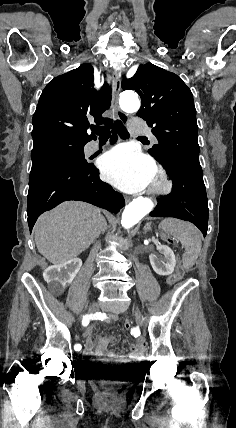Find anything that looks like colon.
Listing matches in <instances>:
<instances>
[{
	"label": "colon",
	"instance_id": "1",
	"mask_svg": "<svg viewBox=\"0 0 236 428\" xmlns=\"http://www.w3.org/2000/svg\"><path fill=\"white\" fill-rule=\"evenodd\" d=\"M183 273H184L183 268L180 265L177 266L175 272L168 278V283L169 284H174L175 282H177L183 276ZM124 327L126 329L130 328V323L129 322H125Z\"/></svg>",
	"mask_w": 236,
	"mask_h": 428
}]
</instances>
